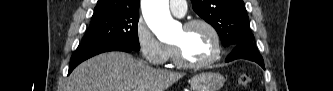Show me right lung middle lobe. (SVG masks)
Here are the masks:
<instances>
[{
	"mask_svg": "<svg viewBox=\"0 0 333 91\" xmlns=\"http://www.w3.org/2000/svg\"><path fill=\"white\" fill-rule=\"evenodd\" d=\"M138 12L94 17L82 40L83 45L114 43L135 51L140 49L137 24Z\"/></svg>",
	"mask_w": 333,
	"mask_h": 91,
	"instance_id": "dd1d6c3e",
	"label": "right lung middle lobe"
}]
</instances>
